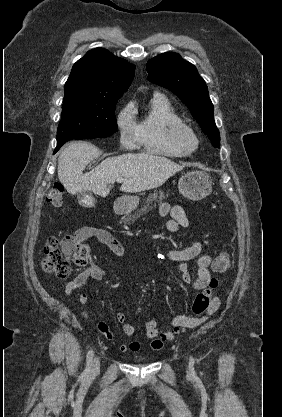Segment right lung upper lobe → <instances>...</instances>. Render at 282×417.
<instances>
[{
  "label": "right lung upper lobe",
  "mask_w": 282,
  "mask_h": 417,
  "mask_svg": "<svg viewBox=\"0 0 282 417\" xmlns=\"http://www.w3.org/2000/svg\"><path fill=\"white\" fill-rule=\"evenodd\" d=\"M134 69L133 64L106 49H92L74 64L64 94H123L134 77Z\"/></svg>",
  "instance_id": "1"
}]
</instances>
